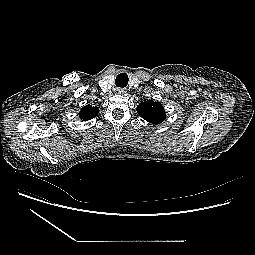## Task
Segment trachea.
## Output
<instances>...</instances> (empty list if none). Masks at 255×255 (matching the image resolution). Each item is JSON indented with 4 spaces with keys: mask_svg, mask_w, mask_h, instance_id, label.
<instances>
[{
    "mask_svg": "<svg viewBox=\"0 0 255 255\" xmlns=\"http://www.w3.org/2000/svg\"><path fill=\"white\" fill-rule=\"evenodd\" d=\"M115 82L117 87L124 88L128 83V77L125 74H120L119 76H117Z\"/></svg>",
    "mask_w": 255,
    "mask_h": 255,
    "instance_id": "1",
    "label": "trachea"
}]
</instances>
